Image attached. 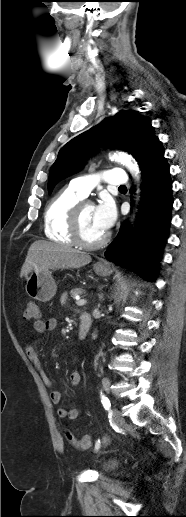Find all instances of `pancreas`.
<instances>
[{"label": "pancreas", "mask_w": 186, "mask_h": 517, "mask_svg": "<svg viewBox=\"0 0 186 517\" xmlns=\"http://www.w3.org/2000/svg\"><path fill=\"white\" fill-rule=\"evenodd\" d=\"M85 291L82 289V288H74L70 291V295L71 297H75L76 295H81L83 294Z\"/></svg>", "instance_id": "cf45deb5"}]
</instances>
